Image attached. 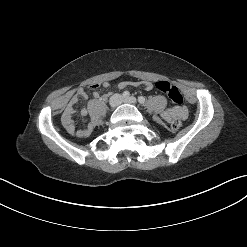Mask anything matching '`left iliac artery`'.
<instances>
[{"label": "left iliac artery", "mask_w": 247, "mask_h": 247, "mask_svg": "<svg viewBox=\"0 0 247 247\" xmlns=\"http://www.w3.org/2000/svg\"><path fill=\"white\" fill-rule=\"evenodd\" d=\"M138 101H139L140 104H144L145 103V97L139 96L138 97Z\"/></svg>", "instance_id": "obj_1"}]
</instances>
